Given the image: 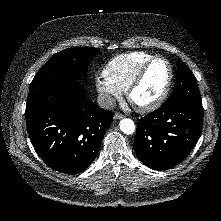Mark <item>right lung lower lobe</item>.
I'll use <instances>...</instances> for the list:
<instances>
[{
	"instance_id": "98d812e1",
	"label": "right lung lower lobe",
	"mask_w": 221,
	"mask_h": 221,
	"mask_svg": "<svg viewBox=\"0 0 221 221\" xmlns=\"http://www.w3.org/2000/svg\"><path fill=\"white\" fill-rule=\"evenodd\" d=\"M27 129L40 158L52 169L75 174L96 158L113 112L87 98L83 85L65 80L26 104Z\"/></svg>"
}]
</instances>
